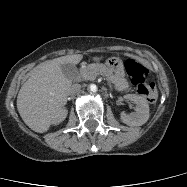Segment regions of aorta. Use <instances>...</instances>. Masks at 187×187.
Segmentation results:
<instances>
[{
    "mask_svg": "<svg viewBox=\"0 0 187 187\" xmlns=\"http://www.w3.org/2000/svg\"><path fill=\"white\" fill-rule=\"evenodd\" d=\"M90 90H91L92 92H96V91H97V86L94 85V84H92V85L90 86Z\"/></svg>",
    "mask_w": 187,
    "mask_h": 187,
    "instance_id": "1",
    "label": "aorta"
}]
</instances>
